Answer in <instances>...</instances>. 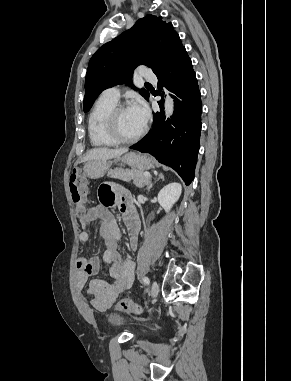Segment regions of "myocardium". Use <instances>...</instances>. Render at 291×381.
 Listing matches in <instances>:
<instances>
[{
  "label": "myocardium",
  "instance_id": "f54148a6",
  "mask_svg": "<svg viewBox=\"0 0 291 381\" xmlns=\"http://www.w3.org/2000/svg\"><path fill=\"white\" fill-rule=\"evenodd\" d=\"M129 108L128 104L125 103H119L116 104L108 113L106 119H105V132L106 134L117 144H130L134 143L138 140H140L146 133L147 131V126L144 125L142 130L135 136L133 137H123L118 130V117L120 113Z\"/></svg>",
  "mask_w": 291,
  "mask_h": 381
}]
</instances>
